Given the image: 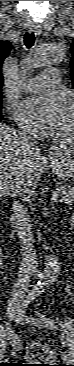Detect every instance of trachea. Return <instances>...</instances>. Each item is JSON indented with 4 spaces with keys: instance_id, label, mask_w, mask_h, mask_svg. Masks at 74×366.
I'll list each match as a JSON object with an SVG mask.
<instances>
[{
    "instance_id": "3493384b",
    "label": "trachea",
    "mask_w": 74,
    "mask_h": 366,
    "mask_svg": "<svg viewBox=\"0 0 74 366\" xmlns=\"http://www.w3.org/2000/svg\"><path fill=\"white\" fill-rule=\"evenodd\" d=\"M35 43V35L34 32H26L24 35V45L26 48L30 49Z\"/></svg>"
}]
</instances>
